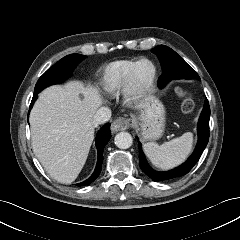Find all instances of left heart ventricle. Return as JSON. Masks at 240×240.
Listing matches in <instances>:
<instances>
[{
    "label": "left heart ventricle",
    "instance_id": "1",
    "mask_svg": "<svg viewBox=\"0 0 240 240\" xmlns=\"http://www.w3.org/2000/svg\"><path fill=\"white\" fill-rule=\"evenodd\" d=\"M151 75V66L147 63L141 64L136 72L135 79L140 83H145Z\"/></svg>",
    "mask_w": 240,
    "mask_h": 240
}]
</instances>
